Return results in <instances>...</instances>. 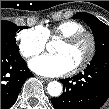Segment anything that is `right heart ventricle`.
I'll return each mask as SVG.
<instances>
[{
	"label": "right heart ventricle",
	"mask_w": 109,
	"mask_h": 109,
	"mask_svg": "<svg viewBox=\"0 0 109 109\" xmlns=\"http://www.w3.org/2000/svg\"><path fill=\"white\" fill-rule=\"evenodd\" d=\"M47 38L62 39L68 37L76 32L85 30L83 24L78 21H64L54 24L52 26L40 27Z\"/></svg>",
	"instance_id": "e07e8e85"
}]
</instances>
